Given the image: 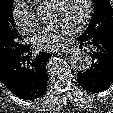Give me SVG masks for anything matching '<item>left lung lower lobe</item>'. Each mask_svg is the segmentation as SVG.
I'll list each match as a JSON object with an SVG mask.
<instances>
[{"mask_svg":"<svg viewBox=\"0 0 113 113\" xmlns=\"http://www.w3.org/2000/svg\"><path fill=\"white\" fill-rule=\"evenodd\" d=\"M78 39L91 58L90 67L77 73L79 85L92 93L106 90L113 83V33H83Z\"/></svg>","mask_w":113,"mask_h":113,"instance_id":"left-lung-lower-lobe-1","label":"left lung lower lobe"}]
</instances>
